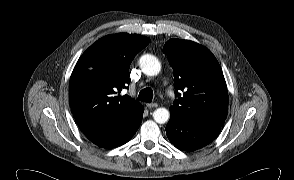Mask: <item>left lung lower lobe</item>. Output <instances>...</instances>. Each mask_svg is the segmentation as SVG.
<instances>
[{"mask_svg": "<svg viewBox=\"0 0 294 180\" xmlns=\"http://www.w3.org/2000/svg\"><path fill=\"white\" fill-rule=\"evenodd\" d=\"M224 123H189L171 114L165 128L170 142L185 151H194L211 143Z\"/></svg>", "mask_w": 294, "mask_h": 180, "instance_id": "1", "label": "left lung lower lobe"}]
</instances>
